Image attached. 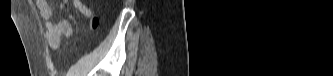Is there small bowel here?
I'll return each mask as SVG.
<instances>
[{"label":"small bowel","instance_id":"c3829d8e","mask_svg":"<svg viewBox=\"0 0 333 76\" xmlns=\"http://www.w3.org/2000/svg\"><path fill=\"white\" fill-rule=\"evenodd\" d=\"M36 4L39 8L41 18L45 21L47 44L52 50H57L61 45L62 38L71 36V24L64 18H58L53 21L51 19L53 10L48 1L37 0ZM72 5L81 15L90 20V29L98 27L99 19L93 16L92 10L82 0H73Z\"/></svg>","mask_w":333,"mask_h":76}]
</instances>
